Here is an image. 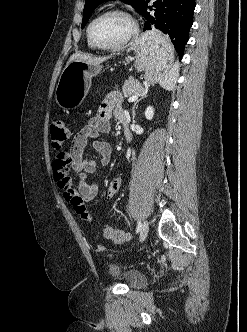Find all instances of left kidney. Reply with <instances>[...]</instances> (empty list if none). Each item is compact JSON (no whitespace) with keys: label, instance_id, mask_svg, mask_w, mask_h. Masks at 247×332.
<instances>
[{"label":"left kidney","instance_id":"5707ae66","mask_svg":"<svg viewBox=\"0 0 247 332\" xmlns=\"http://www.w3.org/2000/svg\"><path fill=\"white\" fill-rule=\"evenodd\" d=\"M153 116H154V108L151 106L147 107L145 110L146 119L151 120Z\"/></svg>","mask_w":247,"mask_h":332}]
</instances>
